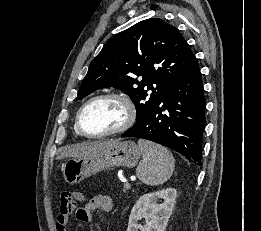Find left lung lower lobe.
<instances>
[{"label": "left lung lower lobe", "mask_w": 261, "mask_h": 231, "mask_svg": "<svg viewBox=\"0 0 261 231\" xmlns=\"http://www.w3.org/2000/svg\"><path fill=\"white\" fill-rule=\"evenodd\" d=\"M205 109L203 82L196 61L188 73L172 82L163 98L121 136L159 143L201 166Z\"/></svg>", "instance_id": "0a47b994"}]
</instances>
